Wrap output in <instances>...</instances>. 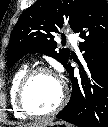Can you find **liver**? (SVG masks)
Masks as SVG:
<instances>
[{
  "instance_id": "1",
  "label": "liver",
  "mask_w": 108,
  "mask_h": 127,
  "mask_svg": "<svg viewBox=\"0 0 108 127\" xmlns=\"http://www.w3.org/2000/svg\"><path fill=\"white\" fill-rule=\"evenodd\" d=\"M50 122H52V120L45 119V120H39V121H36V122L19 125L18 127H44L47 124H49Z\"/></svg>"
}]
</instances>
